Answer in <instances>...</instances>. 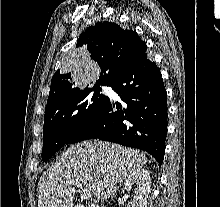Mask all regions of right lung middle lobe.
Returning <instances> with one entry per match:
<instances>
[{
  "label": "right lung middle lobe",
  "instance_id": "obj_1",
  "mask_svg": "<svg viewBox=\"0 0 220 207\" xmlns=\"http://www.w3.org/2000/svg\"><path fill=\"white\" fill-rule=\"evenodd\" d=\"M108 86V84H105ZM100 85L78 89L61 96L46 107L43 130L42 160L47 161L65 144L71 135L100 109L106 96Z\"/></svg>",
  "mask_w": 220,
  "mask_h": 207
}]
</instances>
